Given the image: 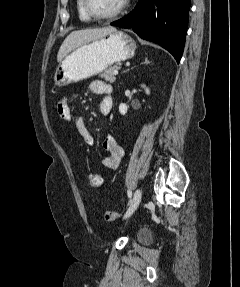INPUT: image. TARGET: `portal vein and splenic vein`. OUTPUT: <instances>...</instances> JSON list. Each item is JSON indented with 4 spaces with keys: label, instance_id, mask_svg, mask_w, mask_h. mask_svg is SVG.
Masks as SVG:
<instances>
[{
    "label": "portal vein and splenic vein",
    "instance_id": "obj_1",
    "mask_svg": "<svg viewBox=\"0 0 240 287\" xmlns=\"http://www.w3.org/2000/svg\"><path fill=\"white\" fill-rule=\"evenodd\" d=\"M114 74H115V75H116V74H118V71H117V70H115V71H114Z\"/></svg>",
    "mask_w": 240,
    "mask_h": 287
}]
</instances>
